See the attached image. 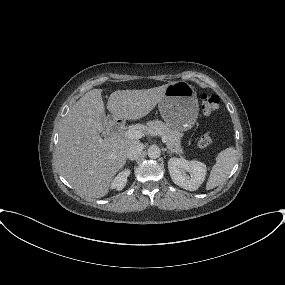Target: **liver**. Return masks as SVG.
I'll list each match as a JSON object with an SVG mask.
<instances>
[{"label":"liver","mask_w":285,"mask_h":285,"mask_svg":"<svg viewBox=\"0 0 285 285\" xmlns=\"http://www.w3.org/2000/svg\"><path fill=\"white\" fill-rule=\"evenodd\" d=\"M168 84L144 90L111 93L107 109L117 119L138 120L162 100ZM102 89H92L70 109L60 130L57 158L60 171L81 195L105 196L112 178L126 163L129 147L136 139L112 135L102 139L100 116L105 106Z\"/></svg>","instance_id":"1"}]
</instances>
